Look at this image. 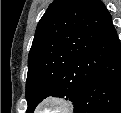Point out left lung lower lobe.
<instances>
[{
  "label": "left lung lower lobe",
  "mask_w": 121,
  "mask_h": 113,
  "mask_svg": "<svg viewBox=\"0 0 121 113\" xmlns=\"http://www.w3.org/2000/svg\"><path fill=\"white\" fill-rule=\"evenodd\" d=\"M75 113H121V44L117 41L75 103Z\"/></svg>",
  "instance_id": "1"
}]
</instances>
